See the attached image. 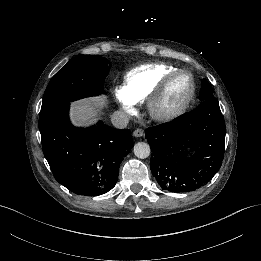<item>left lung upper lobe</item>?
I'll return each mask as SVG.
<instances>
[{
	"label": "left lung upper lobe",
	"mask_w": 261,
	"mask_h": 261,
	"mask_svg": "<svg viewBox=\"0 0 261 261\" xmlns=\"http://www.w3.org/2000/svg\"><path fill=\"white\" fill-rule=\"evenodd\" d=\"M214 97L213 96V89L212 87L210 86V84L207 82L206 79H203L202 80V83H201V91H200V100L203 101V100H206V99H209V98H212Z\"/></svg>",
	"instance_id": "left-lung-upper-lobe-1"
}]
</instances>
